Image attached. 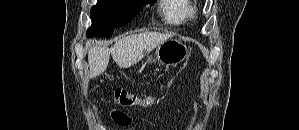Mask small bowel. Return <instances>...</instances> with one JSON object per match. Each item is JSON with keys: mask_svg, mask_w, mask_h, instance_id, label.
<instances>
[{"mask_svg": "<svg viewBox=\"0 0 299 130\" xmlns=\"http://www.w3.org/2000/svg\"><path fill=\"white\" fill-rule=\"evenodd\" d=\"M110 116L112 120L119 125L127 126L131 123V118L122 112L112 110L110 111ZM102 129L108 130L105 126H103Z\"/></svg>", "mask_w": 299, "mask_h": 130, "instance_id": "obj_1", "label": "small bowel"}]
</instances>
